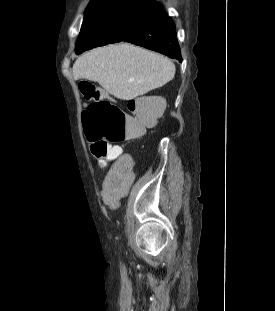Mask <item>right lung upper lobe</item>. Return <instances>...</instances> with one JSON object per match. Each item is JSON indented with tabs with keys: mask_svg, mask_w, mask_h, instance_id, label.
Listing matches in <instances>:
<instances>
[{
	"mask_svg": "<svg viewBox=\"0 0 275 311\" xmlns=\"http://www.w3.org/2000/svg\"><path fill=\"white\" fill-rule=\"evenodd\" d=\"M146 1H151V2H155V1H153V0H146Z\"/></svg>",
	"mask_w": 275,
	"mask_h": 311,
	"instance_id": "cb5924a9",
	"label": "right lung upper lobe"
}]
</instances>
